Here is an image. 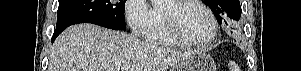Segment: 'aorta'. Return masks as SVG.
<instances>
[{
    "label": "aorta",
    "mask_w": 301,
    "mask_h": 71,
    "mask_svg": "<svg viewBox=\"0 0 301 71\" xmlns=\"http://www.w3.org/2000/svg\"><path fill=\"white\" fill-rule=\"evenodd\" d=\"M168 0H151L154 7H162Z\"/></svg>",
    "instance_id": "762f6f07"
}]
</instances>
